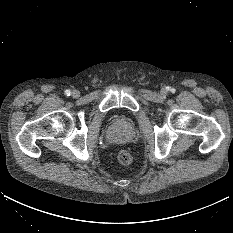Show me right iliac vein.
<instances>
[{
    "instance_id": "1",
    "label": "right iliac vein",
    "mask_w": 233,
    "mask_h": 233,
    "mask_svg": "<svg viewBox=\"0 0 233 233\" xmlns=\"http://www.w3.org/2000/svg\"><path fill=\"white\" fill-rule=\"evenodd\" d=\"M72 96H73L74 98H78V97L80 96V92H79L78 90H73V91H72Z\"/></svg>"
}]
</instances>
